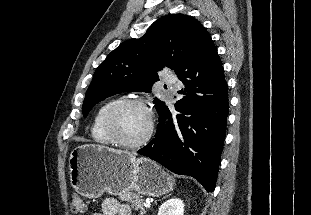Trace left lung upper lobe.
<instances>
[{"label":"left lung upper lobe","instance_id":"obj_1","mask_svg":"<svg viewBox=\"0 0 311 215\" xmlns=\"http://www.w3.org/2000/svg\"><path fill=\"white\" fill-rule=\"evenodd\" d=\"M207 30L195 18L173 14L155 21L139 39L121 43L99 65L86 92L83 115L101 100L123 92H151L164 67L176 70L196 49ZM159 110L165 103L154 99Z\"/></svg>","mask_w":311,"mask_h":215}]
</instances>
